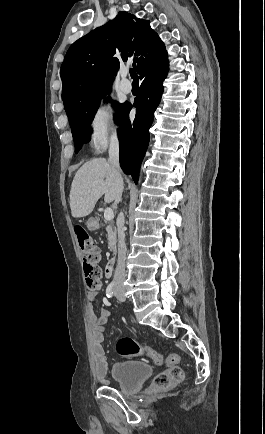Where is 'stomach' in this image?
<instances>
[{"instance_id":"1","label":"stomach","mask_w":265,"mask_h":434,"mask_svg":"<svg viewBox=\"0 0 265 434\" xmlns=\"http://www.w3.org/2000/svg\"><path fill=\"white\" fill-rule=\"evenodd\" d=\"M87 226H89V229L92 232H96L99 229V226H98V224L95 223V220H90V222H88Z\"/></svg>"}]
</instances>
